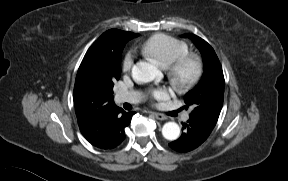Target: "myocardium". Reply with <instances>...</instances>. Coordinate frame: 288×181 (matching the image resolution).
Segmentation results:
<instances>
[{"label":"myocardium","instance_id":"f54148a6","mask_svg":"<svg viewBox=\"0 0 288 181\" xmlns=\"http://www.w3.org/2000/svg\"><path fill=\"white\" fill-rule=\"evenodd\" d=\"M167 74L178 90H188L200 81L203 62L199 56L187 53L167 67Z\"/></svg>","mask_w":288,"mask_h":181}]
</instances>
